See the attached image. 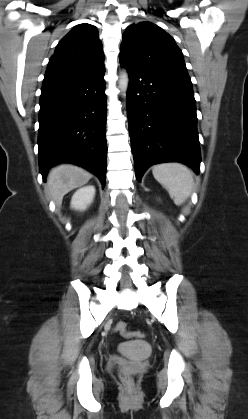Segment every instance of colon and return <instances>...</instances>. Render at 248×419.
I'll return each instance as SVG.
<instances>
[{
	"mask_svg": "<svg viewBox=\"0 0 248 419\" xmlns=\"http://www.w3.org/2000/svg\"><path fill=\"white\" fill-rule=\"evenodd\" d=\"M115 329H116V332L126 337L140 338L144 336V334L140 331L129 332L127 330V324L124 322L118 323ZM120 376L128 386L132 385V377L127 372L122 370L120 372Z\"/></svg>",
	"mask_w": 248,
	"mask_h": 419,
	"instance_id": "1",
	"label": "colon"
}]
</instances>
